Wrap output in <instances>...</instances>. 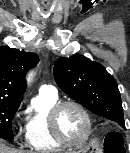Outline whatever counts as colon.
Instances as JSON below:
<instances>
[{
    "instance_id": "obj_1",
    "label": "colon",
    "mask_w": 130,
    "mask_h": 153,
    "mask_svg": "<svg viewBox=\"0 0 130 153\" xmlns=\"http://www.w3.org/2000/svg\"><path fill=\"white\" fill-rule=\"evenodd\" d=\"M104 150L106 153H124L123 139L117 133H109L104 139Z\"/></svg>"
}]
</instances>
